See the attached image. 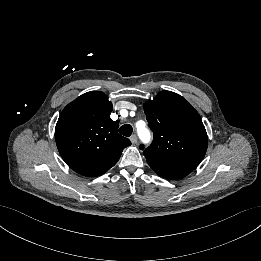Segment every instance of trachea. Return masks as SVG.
Segmentation results:
<instances>
[{
  "instance_id": "1",
  "label": "trachea",
  "mask_w": 261,
  "mask_h": 261,
  "mask_svg": "<svg viewBox=\"0 0 261 261\" xmlns=\"http://www.w3.org/2000/svg\"><path fill=\"white\" fill-rule=\"evenodd\" d=\"M133 128L130 124H124L119 128V133L123 136L129 137L132 134Z\"/></svg>"
}]
</instances>
